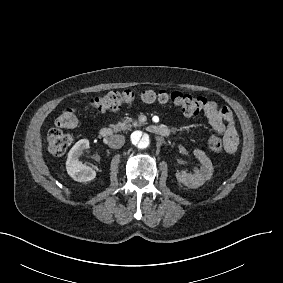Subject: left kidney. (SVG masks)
Returning a JSON list of instances; mask_svg holds the SVG:
<instances>
[{"label": "left kidney", "instance_id": "1", "mask_svg": "<svg viewBox=\"0 0 283 283\" xmlns=\"http://www.w3.org/2000/svg\"><path fill=\"white\" fill-rule=\"evenodd\" d=\"M193 154L201 163L200 170H197L194 174L180 171L175 175L180 183L189 188L196 189L202 186L207 180L211 179L214 169L211 160L203 151L195 149Z\"/></svg>", "mask_w": 283, "mask_h": 283}]
</instances>
